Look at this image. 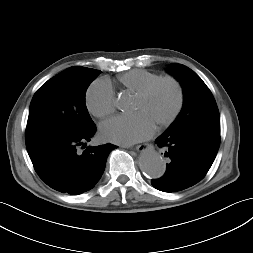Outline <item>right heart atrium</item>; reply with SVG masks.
<instances>
[{
  "label": "right heart atrium",
  "instance_id": "obj_1",
  "mask_svg": "<svg viewBox=\"0 0 253 253\" xmlns=\"http://www.w3.org/2000/svg\"><path fill=\"white\" fill-rule=\"evenodd\" d=\"M85 103L90 114L97 118L111 115L115 110V97L110 83L104 79L95 80L86 91Z\"/></svg>",
  "mask_w": 253,
  "mask_h": 253
}]
</instances>
